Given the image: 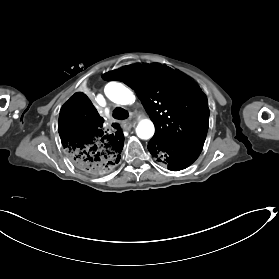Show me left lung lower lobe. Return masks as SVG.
Returning a JSON list of instances; mask_svg holds the SVG:
<instances>
[{"label": "left lung lower lobe", "mask_w": 279, "mask_h": 279, "mask_svg": "<svg viewBox=\"0 0 279 279\" xmlns=\"http://www.w3.org/2000/svg\"><path fill=\"white\" fill-rule=\"evenodd\" d=\"M148 150L159 162L168 166L169 170L179 171L191 165L199 156L202 148L198 146H180L169 143H148Z\"/></svg>", "instance_id": "0a47b994"}]
</instances>
